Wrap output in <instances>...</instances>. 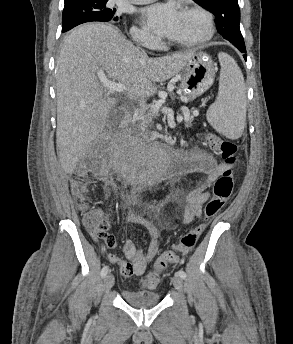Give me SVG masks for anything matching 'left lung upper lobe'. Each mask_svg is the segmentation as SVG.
<instances>
[{
	"instance_id": "obj_1",
	"label": "left lung upper lobe",
	"mask_w": 293,
	"mask_h": 344,
	"mask_svg": "<svg viewBox=\"0 0 293 344\" xmlns=\"http://www.w3.org/2000/svg\"><path fill=\"white\" fill-rule=\"evenodd\" d=\"M211 11L216 17V26L222 37L233 45H244L240 31V9L237 0H193Z\"/></svg>"
}]
</instances>
